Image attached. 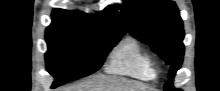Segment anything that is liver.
I'll return each mask as SVG.
<instances>
[{
    "mask_svg": "<svg viewBox=\"0 0 220 91\" xmlns=\"http://www.w3.org/2000/svg\"><path fill=\"white\" fill-rule=\"evenodd\" d=\"M61 91H152L148 86L123 78L94 76L77 86L64 88Z\"/></svg>",
    "mask_w": 220,
    "mask_h": 91,
    "instance_id": "6515ba94",
    "label": "liver"
}]
</instances>
